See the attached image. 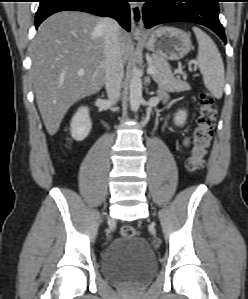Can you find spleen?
Masks as SVG:
<instances>
[{"mask_svg":"<svg viewBox=\"0 0 248 299\" xmlns=\"http://www.w3.org/2000/svg\"><path fill=\"white\" fill-rule=\"evenodd\" d=\"M198 41L197 63L204 78L206 88L220 99L225 84L224 64L213 40L198 27H193Z\"/></svg>","mask_w":248,"mask_h":299,"instance_id":"3e777b00","label":"spleen"}]
</instances>
